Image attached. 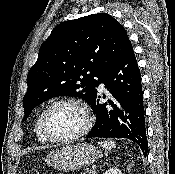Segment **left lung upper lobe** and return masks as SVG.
Returning a JSON list of instances; mask_svg holds the SVG:
<instances>
[{
  "label": "left lung upper lobe",
  "mask_w": 175,
  "mask_h": 174,
  "mask_svg": "<svg viewBox=\"0 0 175 174\" xmlns=\"http://www.w3.org/2000/svg\"><path fill=\"white\" fill-rule=\"evenodd\" d=\"M129 44L123 26L106 13L59 24L28 72L23 121L35 106L53 97L78 96L90 103L99 82Z\"/></svg>",
  "instance_id": "obj_1"
}]
</instances>
